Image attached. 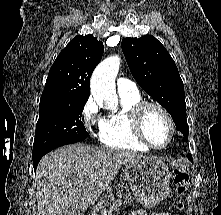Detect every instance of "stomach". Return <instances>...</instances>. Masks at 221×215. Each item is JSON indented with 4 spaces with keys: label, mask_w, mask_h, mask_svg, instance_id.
Segmentation results:
<instances>
[{
    "label": "stomach",
    "mask_w": 221,
    "mask_h": 215,
    "mask_svg": "<svg viewBox=\"0 0 221 215\" xmlns=\"http://www.w3.org/2000/svg\"><path fill=\"white\" fill-rule=\"evenodd\" d=\"M125 178L137 201L145 207L162 202L169 195L172 178L167 164L154 157L129 162L124 168ZM146 215L138 210L132 215Z\"/></svg>",
    "instance_id": "0dacf381"
}]
</instances>
